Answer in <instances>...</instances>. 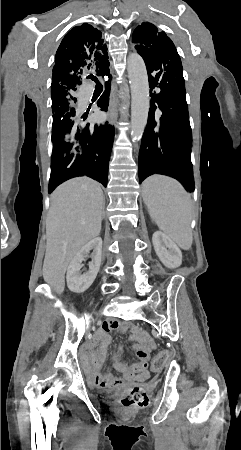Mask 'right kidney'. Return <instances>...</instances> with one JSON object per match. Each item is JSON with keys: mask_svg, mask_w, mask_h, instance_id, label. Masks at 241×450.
Segmentation results:
<instances>
[{"mask_svg": "<svg viewBox=\"0 0 241 450\" xmlns=\"http://www.w3.org/2000/svg\"><path fill=\"white\" fill-rule=\"evenodd\" d=\"M93 250L90 258L92 262H89L88 272L81 274V268L83 266L82 262L84 258H88L89 252ZM102 258V238H94L90 240L88 244H85L76 256H74L72 262H70L67 270V286L71 292H76V294H81L90 288L93 284L100 268Z\"/></svg>", "mask_w": 241, "mask_h": 450, "instance_id": "1", "label": "right kidney"}]
</instances>
